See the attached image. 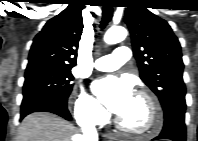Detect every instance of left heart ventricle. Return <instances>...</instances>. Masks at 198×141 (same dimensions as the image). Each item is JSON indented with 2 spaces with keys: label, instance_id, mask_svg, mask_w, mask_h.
<instances>
[{
  "label": "left heart ventricle",
  "instance_id": "b2bd125f",
  "mask_svg": "<svg viewBox=\"0 0 198 141\" xmlns=\"http://www.w3.org/2000/svg\"><path fill=\"white\" fill-rule=\"evenodd\" d=\"M119 117L125 125L133 129L144 130L150 125L148 106L144 100L136 96Z\"/></svg>",
  "mask_w": 198,
  "mask_h": 141
}]
</instances>
